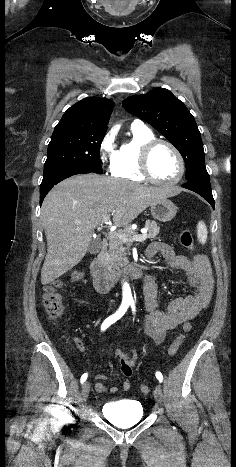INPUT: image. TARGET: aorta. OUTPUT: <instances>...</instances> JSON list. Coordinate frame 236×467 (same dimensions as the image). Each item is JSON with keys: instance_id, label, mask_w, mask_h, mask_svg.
I'll use <instances>...</instances> for the list:
<instances>
[{"instance_id": "aorta-1", "label": "aorta", "mask_w": 236, "mask_h": 467, "mask_svg": "<svg viewBox=\"0 0 236 467\" xmlns=\"http://www.w3.org/2000/svg\"><path fill=\"white\" fill-rule=\"evenodd\" d=\"M123 300L131 302L133 301L130 285L127 282H124L122 286Z\"/></svg>"}]
</instances>
